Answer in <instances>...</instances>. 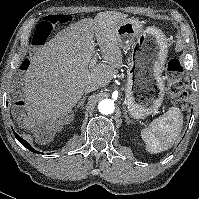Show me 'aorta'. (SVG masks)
I'll use <instances>...</instances> for the list:
<instances>
[{"mask_svg": "<svg viewBox=\"0 0 199 199\" xmlns=\"http://www.w3.org/2000/svg\"><path fill=\"white\" fill-rule=\"evenodd\" d=\"M98 109L101 114L109 115L114 112V103L109 99H104L99 102Z\"/></svg>", "mask_w": 199, "mask_h": 199, "instance_id": "aorta-1", "label": "aorta"}]
</instances>
